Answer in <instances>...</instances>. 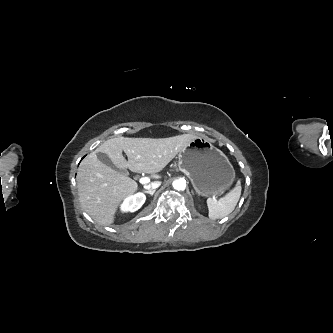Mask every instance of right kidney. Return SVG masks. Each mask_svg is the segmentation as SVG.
<instances>
[{"mask_svg":"<svg viewBox=\"0 0 333 333\" xmlns=\"http://www.w3.org/2000/svg\"><path fill=\"white\" fill-rule=\"evenodd\" d=\"M146 200V197L142 193H137L135 195L129 196L125 199V201L122 204V211L124 212H135L138 209L141 208V206L144 204Z\"/></svg>","mask_w":333,"mask_h":333,"instance_id":"right-kidney-1","label":"right kidney"}]
</instances>
